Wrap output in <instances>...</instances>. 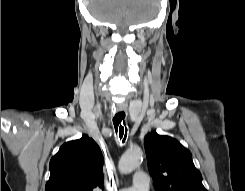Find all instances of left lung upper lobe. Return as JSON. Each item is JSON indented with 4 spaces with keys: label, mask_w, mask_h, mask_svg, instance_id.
<instances>
[{
    "label": "left lung upper lobe",
    "mask_w": 245,
    "mask_h": 191,
    "mask_svg": "<svg viewBox=\"0 0 245 191\" xmlns=\"http://www.w3.org/2000/svg\"><path fill=\"white\" fill-rule=\"evenodd\" d=\"M144 147L156 191H207L191 152L178 140L151 132Z\"/></svg>",
    "instance_id": "obj_1"
}]
</instances>
